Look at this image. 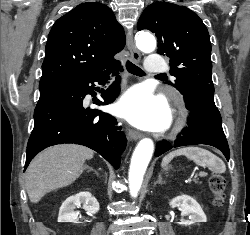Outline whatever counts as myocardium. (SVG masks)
Masks as SVG:
<instances>
[{"label":"myocardium","mask_w":250,"mask_h":235,"mask_svg":"<svg viewBox=\"0 0 250 235\" xmlns=\"http://www.w3.org/2000/svg\"><path fill=\"white\" fill-rule=\"evenodd\" d=\"M171 120H174L175 122V130L178 131L180 130L183 126H184V123H185V113L183 111H181L177 116H173L172 115L170 116V121Z\"/></svg>","instance_id":"f54148a6"}]
</instances>
